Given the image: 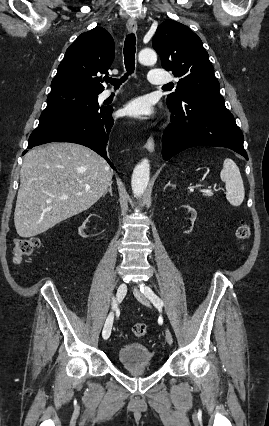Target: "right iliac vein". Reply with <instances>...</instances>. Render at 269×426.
Masks as SVG:
<instances>
[{
  "label": "right iliac vein",
  "mask_w": 269,
  "mask_h": 426,
  "mask_svg": "<svg viewBox=\"0 0 269 426\" xmlns=\"http://www.w3.org/2000/svg\"><path fill=\"white\" fill-rule=\"evenodd\" d=\"M126 291H127L126 284L125 283H121L119 285L118 289H117V294H116V299H117L118 303L123 300L124 296L126 295ZM113 319H114V313L111 312L108 315V317H107V319L105 321L104 327H103V333H102V335H103L104 339H108L109 336H110V334H111V329H112V325H113Z\"/></svg>",
  "instance_id": "obj_1"
}]
</instances>
